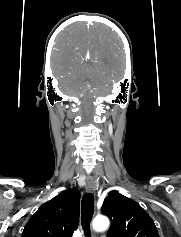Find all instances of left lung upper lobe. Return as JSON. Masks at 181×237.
<instances>
[{
  "label": "left lung upper lobe",
  "instance_id": "obj_1",
  "mask_svg": "<svg viewBox=\"0 0 181 237\" xmlns=\"http://www.w3.org/2000/svg\"><path fill=\"white\" fill-rule=\"evenodd\" d=\"M101 211L111 220L107 237H159L154 221L134 200L113 190Z\"/></svg>",
  "mask_w": 181,
  "mask_h": 237
}]
</instances>
